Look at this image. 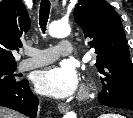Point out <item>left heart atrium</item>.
I'll list each match as a JSON object with an SVG mask.
<instances>
[{
	"label": "left heart atrium",
	"instance_id": "1",
	"mask_svg": "<svg viewBox=\"0 0 133 118\" xmlns=\"http://www.w3.org/2000/svg\"><path fill=\"white\" fill-rule=\"evenodd\" d=\"M35 88L46 96L66 98L77 90L78 75L70 65L51 66L37 73Z\"/></svg>",
	"mask_w": 133,
	"mask_h": 118
}]
</instances>
